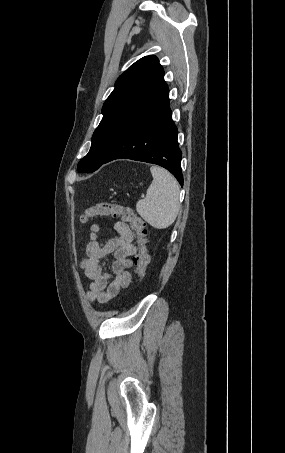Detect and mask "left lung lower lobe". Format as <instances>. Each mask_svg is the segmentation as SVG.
Returning <instances> with one entry per match:
<instances>
[{"label":"left lung lower lobe","instance_id":"left-lung-lower-lobe-1","mask_svg":"<svg viewBox=\"0 0 285 453\" xmlns=\"http://www.w3.org/2000/svg\"><path fill=\"white\" fill-rule=\"evenodd\" d=\"M121 158L160 165L183 186L182 153L177 142V127L172 120L167 84L129 125L103 164Z\"/></svg>","mask_w":285,"mask_h":453}]
</instances>
